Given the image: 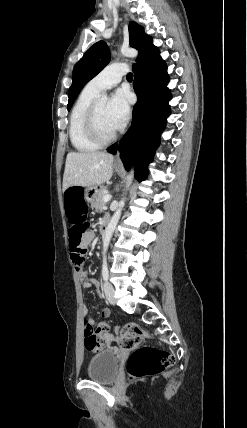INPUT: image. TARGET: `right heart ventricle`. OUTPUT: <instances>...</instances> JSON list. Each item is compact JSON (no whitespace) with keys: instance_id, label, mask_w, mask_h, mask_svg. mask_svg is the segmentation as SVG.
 Returning <instances> with one entry per match:
<instances>
[{"instance_id":"e07e8e85","label":"right heart ventricle","mask_w":247,"mask_h":428,"mask_svg":"<svg viewBox=\"0 0 247 428\" xmlns=\"http://www.w3.org/2000/svg\"><path fill=\"white\" fill-rule=\"evenodd\" d=\"M98 94L86 86L78 96L70 114L69 137L73 147L79 152H93L101 146L89 137L85 129L86 114Z\"/></svg>"}]
</instances>
